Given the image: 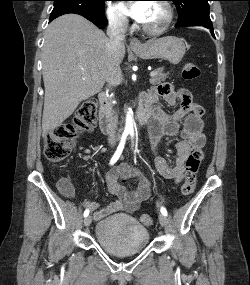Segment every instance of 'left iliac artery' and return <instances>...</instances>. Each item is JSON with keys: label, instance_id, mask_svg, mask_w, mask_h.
I'll return each mask as SVG.
<instances>
[{"label": "left iliac artery", "instance_id": "left-iliac-artery-1", "mask_svg": "<svg viewBox=\"0 0 250 285\" xmlns=\"http://www.w3.org/2000/svg\"><path fill=\"white\" fill-rule=\"evenodd\" d=\"M131 136L133 137V134H131ZM161 213L167 216V210L164 207H161Z\"/></svg>", "mask_w": 250, "mask_h": 285}]
</instances>
